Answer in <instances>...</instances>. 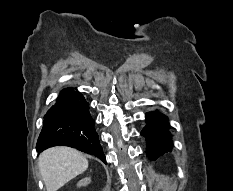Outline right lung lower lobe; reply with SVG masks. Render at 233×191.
<instances>
[{
    "mask_svg": "<svg viewBox=\"0 0 233 191\" xmlns=\"http://www.w3.org/2000/svg\"><path fill=\"white\" fill-rule=\"evenodd\" d=\"M89 113V103L72 88L63 89L55 104L44 116L36 149L64 145L100 158L106 163L99 138Z\"/></svg>",
    "mask_w": 233,
    "mask_h": 191,
    "instance_id": "right-lung-lower-lobe-1",
    "label": "right lung lower lobe"
}]
</instances>
